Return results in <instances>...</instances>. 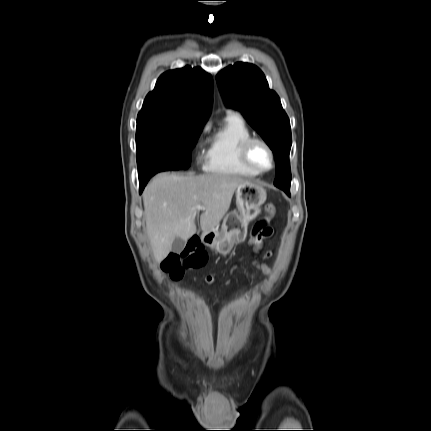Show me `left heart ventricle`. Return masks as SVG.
Here are the masks:
<instances>
[{
    "mask_svg": "<svg viewBox=\"0 0 431 431\" xmlns=\"http://www.w3.org/2000/svg\"><path fill=\"white\" fill-rule=\"evenodd\" d=\"M250 159L259 168H268L271 164L269 152L259 143H256L251 147Z\"/></svg>",
    "mask_w": 431,
    "mask_h": 431,
    "instance_id": "obj_1",
    "label": "left heart ventricle"
}]
</instances>
